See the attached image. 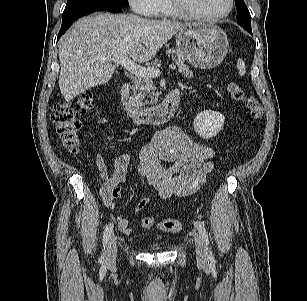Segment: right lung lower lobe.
<instances>
[{
    "label": "right lung lower lobe",
    "mask_w": 307,
    "mask_h": 301,
    "mask_svg": "<svg viewBox=\"0 0 307 301\" xmlns=\"http://www.w3.org/2000/svg\"><path fill=\"white\" fill-rule=\"evenodd\" d=\"M95 11H109L112 13H117V12H121L122 8L121 7H115V6H100V7H93V8H89L86 10H82L67 16H64L62 19V25H61V29L59 31L57 40L66 32V30L71 26V24L76 21L78 18L91 14Z\"/></svg>",
    "instance_id": "obj_1"
}]
</instances>
